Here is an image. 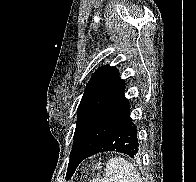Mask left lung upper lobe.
Here are the masks:
<instances>
[{"label":"left lung upper lobe","instance_id":"5c2ea615","mask_svg":"<svg viewBox=\"0 0 196 182\" xmlns=\"http://www.w3.org/2000/svg\"><path fill=\"white\" fill-rule=\"evenodd\" d=\"M124 91L125 82L115 67L103 66L96 70L78 107L71 153L93 151L129 113ZM73 160L70 157L67 178L75 170Z\"/></svg>","mask_w":196,"mask_h":182}]
</instances>
